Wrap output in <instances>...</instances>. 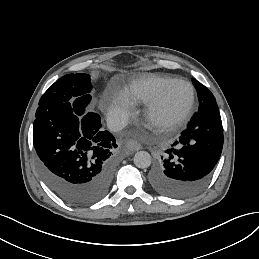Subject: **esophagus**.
Listing matches in <instances>:
<instances>
[{
    "instance_id": "34e87169",
    "label": "esophagus",
    "mask_w": 259,
    "mask_h": 259,
    "mask_svg": "<svg viewBox=\"0 0 259 259\" xmlns=\"http://www.w3.org/2000/svg\"><path fill=\"white\" fill-rule=\"evenodd\" d=\"M126 146L131 151H138L142 149V145L133 139H129L126 142Z\"/></svg>"
}]
</instances>
